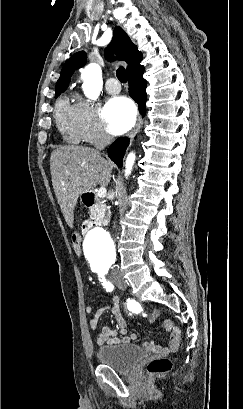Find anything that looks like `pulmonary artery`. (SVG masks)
Segmentation results:
<instances>
[{
    "mask_svg": "<svg viewBox=\"0 0 243 409\" xmlns=\"http://www.w3.org/2000/svg\"><path fill=\"white\" fill-rule=\"evenodd\" d=\"M105 88L109 94H117L121 90V86L115 78H109L106 81Z\"/></svg>",
    "mask_w": 243,
    "mask_h": 409,
    "instance_id": "pulmonary-artery-1",
    "label": "pulmonary artery"
}]
</instances>
